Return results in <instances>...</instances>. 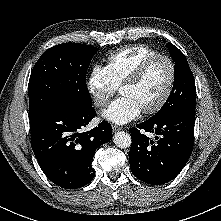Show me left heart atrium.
<instances>
[{
    "label": "left heart atrium",
    "mask_w": 221,
    "mask_h": 221,
    "mask_svg": "<svg viewBox=\"0 0 221 221\" xmlns=\"http://www.w3.org/2000/svg\"><path fill=\"white\" fill-rule=\"evenodd\" d=\"M142 112L141 107L130 97L122 95L102 113L103 117L116 124H125Z\"/></svg>",
    "instance_id": "39dd6f15"
}]
</instances>
